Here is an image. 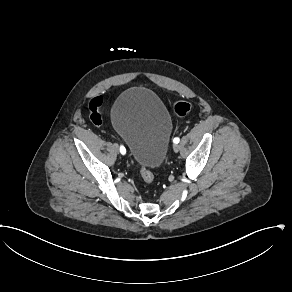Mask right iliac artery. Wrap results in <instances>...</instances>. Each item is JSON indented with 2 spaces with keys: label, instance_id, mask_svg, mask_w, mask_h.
Returning a JSON list of instances; mask_svg holds the SVG:
<instances>
[{
  "label": "right iliac artery",
  "instance_id": "right-iliac-artery-1",
  "mask_svg": "<svg viewBox=\"0 0 292 292\" xmlns=\"http://www.w3.org/2000/svg\"><path fill=\"white\" fill-rule=\"evenodd\" d=\"M120 152H121V154H125L126 153V149H125V147L124 146H120Z\"/></svg>",
  "mask_w": 292,
  "mask_h": 292
}]
</instances>
